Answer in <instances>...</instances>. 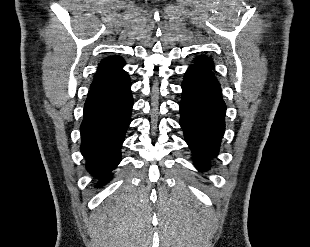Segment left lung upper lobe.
Here are the masks:
<instances>
[{
  "label": "left lung upper lobe",
  "mask_w": 310,
  "mask_h": 247,
  "mask_svg": "<svg viewBox=\"0 0 310 247\" xmlns=\"http://www.w3.org/2000/svg\"><path fill=\"white\" fill-rule=\"evenodd\" d=\"M192 66L203 67V68L210 69V70L214 69L212 60L205 56L197 57L196 64Z\"/></svg>",
  "instance_id": "obj_1"
}]
</instances>
